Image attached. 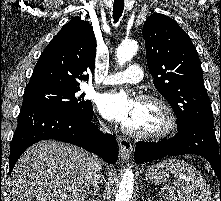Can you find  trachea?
<instances>
[{
  "label": "trachea",
  "mask_w": 221,
  "mask_h": 201,
  "mask_svg": "<svg viewBox=\"0 0 221 201\" xmlns=\"http://www.w3.org/2000/svg\"><path fill=\"white\" fill-rule=\"evenodd\" d=\"M124 10V0H114V4H113V19H114V23H116Z\"/></svg>",
  "instance_id": "trachea-1"
}]
</instances>
